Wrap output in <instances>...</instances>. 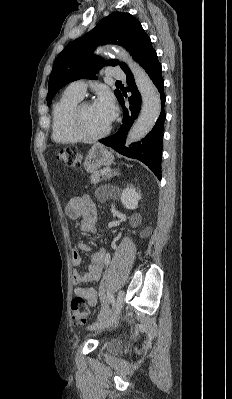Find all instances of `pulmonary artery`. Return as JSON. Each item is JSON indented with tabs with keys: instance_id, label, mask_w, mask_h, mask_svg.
<instances>
[{
	"instance_id": "obj_1",
	"label": "pulmonary artery",
	"mask_w": 232,
	"mask_h": 399,
	"mask_svg": "<svg viewBox=\"0 0 232 399\" xmlns=\"http://www.w3.org/2000/svg\"><path fill=\"white\" fill-rule=\"evenodd\" d=\"M114 68V65H111ZM111 80H124L125 75L123 69H110L108 71ZM88 91L84 88V83L82 81H73V83H68V89L65 90L66 96H76L82 98L87 96Z\"/></svg>"
}]
</instances>
